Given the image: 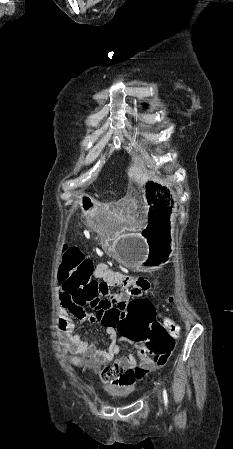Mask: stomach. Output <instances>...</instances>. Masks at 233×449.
Segmentation results:
<instances>
[{"label":"stomach","mask_w":233,"mask_h":449,"mask_svg":"<svg viewBox=\"0 0 233 449\" xmlns=\"http://www.w3.org/2000/svg\"><path fill=\"white\" fill-rule=\"evenodd\" d=\"M145 199L149 205L146 223L139 212H107V210H131V201H107L106 208L83 206L91 226L102 229L103 249L123 266L137 272H153L171 258L174 249V213L172 199L175 193L171 185H159L146 181Z\"/></svg>","instance_id":"0dacf381"}]
</instances>
